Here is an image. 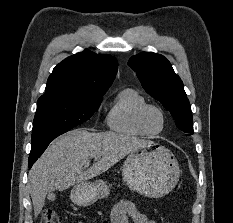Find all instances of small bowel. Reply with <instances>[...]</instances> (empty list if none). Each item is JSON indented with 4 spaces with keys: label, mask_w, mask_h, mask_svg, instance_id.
<instances>
[{
    "label": "small bowel",
    "mask_w": 233,
    "mask_h": 223,
    "mask_svg": "<svg viewBox=\"0 0 233 223\" xmlns=\"http://www.w3.org/2000/svg\"><path fill=\"white\" fill-rule=\"evenodd\" d=\"M156 223L139 211L135 204L129 200L116 203L111 211V223Z\"/></svg>",
    "instance_id": "1"
}]
</instances>
